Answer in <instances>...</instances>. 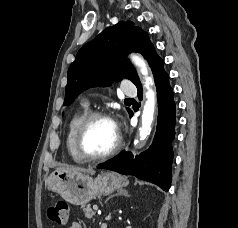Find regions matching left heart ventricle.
Instances as JSON below:
<instances>
[{
	"label": "left heart ventricle",
	"instance_id": "b2bd125f",
	"mask_svg": "<svg viewBox=\"0 0 238 228\" xmlns=\"http://www.w3.org/2000/svg\"><path fill=\"white\" fill-rule=\"evenodd\" d=\"M117 141V130L109 119H97L90 125L83 142L84 150L91 155L109 151Z\"/></svg>",
	"mask_w": 238,
	"mask_h": 228
}]
</instances>
